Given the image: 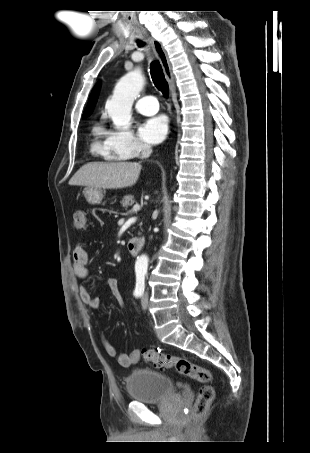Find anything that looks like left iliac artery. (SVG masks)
<instances>
[{
    "instance_id": "obj_1",
    "label": "left iliac artery",
    "mask_w": 310,
    "mask_h": 453,
    "mask_svg": "<svg viewBox=\"0 0 310 453\" xmlns=\"http://www.w3.org/2000/svg\"><path fill=\"white\" fill-rule=\"evenodd\" d=\"M145 288V273L144 272H138L136 274V287L134 291V295L136 297H140Z\"/></svg>"
}]
</instances>
